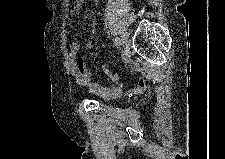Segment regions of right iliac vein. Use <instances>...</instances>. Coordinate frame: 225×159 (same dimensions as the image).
Wrapping results in <instances>:
<instances>
[{
    "label": "right iliac vein",
    "instance_id": "1",
    "mask_svg": "<svg viewBox=\"0 0 225 159\" xmlns=\"http://www.w3.org/2000/svg\"><path fill=\"white\" fill-rule=\"evenodd\" d=\"M121 45L123 47H127L129 45V36H128V33L126 31H123L121 33Z\"/></svg>",
    "mask_w": 225,
    "mask_h": 159
}]
</instances>
